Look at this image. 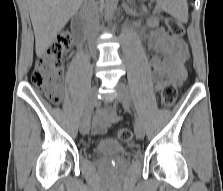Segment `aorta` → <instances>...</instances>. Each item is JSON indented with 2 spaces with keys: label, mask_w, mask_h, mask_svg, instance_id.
I'll return each instance as SVG.
<instances>
[{
  "label": "aorta",
  "mask_w": 223,
  "mask_h": 191,
  "mask_svg": "<svg viewBox=\"0 0 223 191\" xmlns=\"http://www.w3.org/2000/svg\"><path fill=\"white\" fill-rule=\"evenodd\" d=\"M118 0H105V15L107 18H111L117 8Z\"/></svg>",
  "instance_id": "1"
}]
</instances>
